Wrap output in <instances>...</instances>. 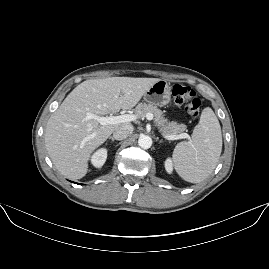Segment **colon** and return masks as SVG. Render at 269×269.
<instances>
[{
	"instance_id": "colon-1",
	"label": "colon",
	"mask_w": 269,
	"mask_h": 269,
	"mask_svg": "<svg viewBox=\"0 0 269 269\" xmlns=\"http://www.w3.org/2000/svg\"><path fill=\"white\" fill-rule=\"evenodd\" d=\"M171 94L174 106H183L191 117L195 118L199 115L202 102L189 86L176 83L172 87Z\"/></svg>"
}]
</instances>
